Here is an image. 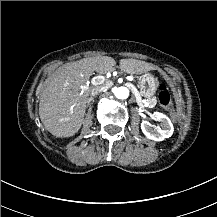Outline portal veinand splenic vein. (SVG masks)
<instances>
[{
    "mask_svg": "<svg viewBox=\"0 0 217 217\" xmlns=\"http://www.w3.org/2000/svg\"><path fill=\"white\" fill-rule=\"evenodd\" d=\"M132 78L130 76H126V80H131Z\"/></svg>",
    "mask_w": 217,
    "mask_h": 217,
    "instance_id": "1",
    "label": "portal vein and splenic vein"
}]
</instances>
